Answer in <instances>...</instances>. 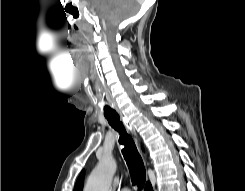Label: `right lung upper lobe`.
Returning a JSON list of instances; mask_svg holds the SVG:
<instances>
[{
  "instance_id": "1",
  "label": "right lung upper lobe",
  "mask_w": 245,
  "mask_h": 191,
  "mask_svg": "<svg viewBox=\"0 0 245 191\" xmlns=\"http://www.w3.org/2000/svg\"><path fill=\"white\" fill-rule=\"evenodd\" d=\"M83 182H84V170L81 172L80 177L78 178L75 184L74 191H82Z\"/></svg>"
}]
</instances>
